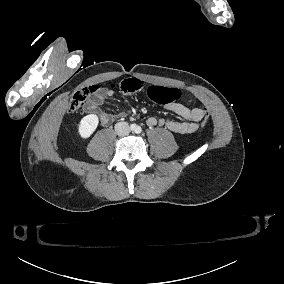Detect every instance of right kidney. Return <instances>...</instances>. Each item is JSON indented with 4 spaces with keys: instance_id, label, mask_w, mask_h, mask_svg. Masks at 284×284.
Masks as SVG:
<instances>
[{
    "instance_id": "1",
    "label": "right kidney",
    "mask_w": 284,
    "mask_h": 284,
    "mask_svg": "<svg viewBox=\"0 0 284 284\" xmlns=\"http://www.w3.org/2000/svg\"><path fill=\"white\" fill-rule=\"evenodd\" d=\"M99 125V116L97 114H88L81 118L77 124V134L82 140L89 139L96 131Z\"/></svg>"
}]
</instances>
